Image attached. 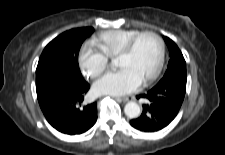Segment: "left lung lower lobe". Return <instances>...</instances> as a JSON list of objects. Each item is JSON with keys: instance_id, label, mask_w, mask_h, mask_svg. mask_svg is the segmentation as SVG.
Masks as SVG:
<instances>
[{"instance_id": "0a47b994", "label": "left lung lower lobe", "mask_w": 225, "mask_h": 155, "mask_svg": "<svg viewBox=\"0 0 225 155\" xmlns=\"http://www.w3.org/2000/svg\"><path fill=\"white\" fill-rule=\"evenodd\" d=\"M186 92V86L178 82L158 83L147 94L137 98H146L150 104L143 105V112L137 119L130 121L132 127L155 132L166 127L178 114Z\"/></svg>"}]
</instances>
